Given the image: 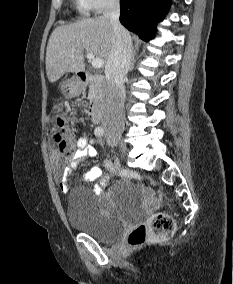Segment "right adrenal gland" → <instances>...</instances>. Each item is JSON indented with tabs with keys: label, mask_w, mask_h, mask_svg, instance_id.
I'll list each match as a JSON object with an SVG mask.
<instances>
[{
	"label": "right adrenal gland",
	"mask_w": 233,
	"mask_h": 284,
	"mask_svg": "<svg viewBox=\"0 0 233 284\" xmlns=\"http://www.w3.org/2000/svg\"><path fill=\"white\" fill-rule=\"evenodd\" d=\"M134 58H135V51L132 53V56H131L130 71H132L134 67Z\"/></svg>",
	"instance_id": "1"
}]
</instances>
